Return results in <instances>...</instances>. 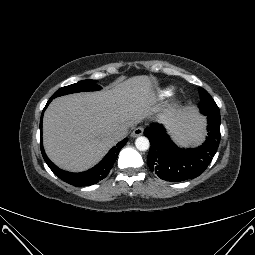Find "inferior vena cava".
<instances>
[{
  "mask_svg": "<svg viewBox=\"0 0 255 255\" xmlns=\"http://www.w3.org/2000/svg\"><path fill=\"white\" fill-rule=\"evenodd\" d=\"M127 135L126 129H117L113 132V138L117 141L124 139Z\"/></svg>",
  "mask_w": 255,
  "mask_h": 255,
  "instance_id": "1",
  "label": "inferior vena cava"
}]
</instances>
